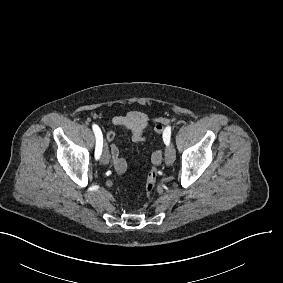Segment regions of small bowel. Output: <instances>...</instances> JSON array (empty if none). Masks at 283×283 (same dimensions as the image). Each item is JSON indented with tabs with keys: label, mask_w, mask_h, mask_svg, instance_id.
<instances>
[{
	"label": "small bowel",
	"mask_w": 283,
	"mask_h": 283,
	"mask_svg": "<svg viewBox=\"0 0 283 283\" xmlns=\"http://www.w3.org/2000/svg\"><path fill=\"white\" fill-rule=\"evenodd\" d=\"M111 122L113 125L129 132L135 142H140L145 138V132L151 122V119L148 114L142 111L133 110L125 114L113 116L111 118ZM154 132L159 136L164 134L165 128L162 122H158L154 125ZM106 139L110 144V155L114 170L117 174H123L126 171L127 162L121 156L119 147L115 143L116 132L114 130L108 131L106 133ZM161 162H153V164L160 165Z\"/></svg>",
	"instance_id": "obj_1"
}]
</instances>
